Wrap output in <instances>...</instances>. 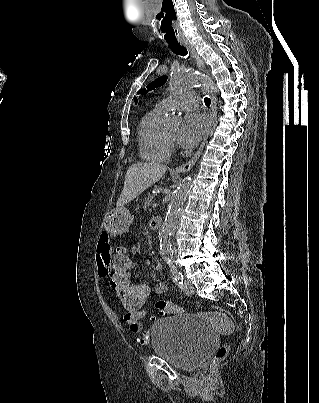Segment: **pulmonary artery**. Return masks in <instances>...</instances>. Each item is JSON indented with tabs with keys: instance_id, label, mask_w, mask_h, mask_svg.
I'll return each instance as SVG.
<instances>
[{
	"instance_id": "obj_1",
	"label": "pulmonary artery",
	"mask_w": 319,
	"mask_h": 403,
	"mask_svg": "<svg viewBox=\"0 0 319 403\" xmlns=\"http://www.w3.org/2000/svg\"><path fill=\"white\" fill-rule=\"evenodd\" d=\"M198 104V94L195 91L191 90L176 94L171 100L162 99L157 103V105L163 109H166L172 105L179 108H193L198 106Z\"/></svg>"
}]
</instances>
